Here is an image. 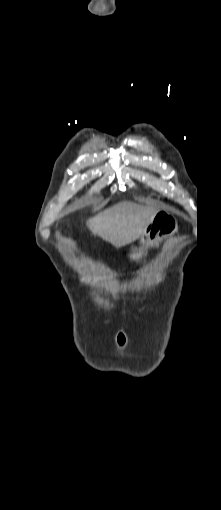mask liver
Wrapping results in <instances>:
<instances>
[{"instance_id":"liver-1","label":"liver","mask_w":221,"mask_h":510,"mask_svg":"<svg viewBox=\"0 0 221 510\" xmlns=\"http://www.w3.org/2000/svg\"><path fill=\"white\" fill-rule=\"evenodd\" d=\"M159 210L132 202H120L87 221L93 235L120 248L139 239Z\"/></svg>"}]
</instances>
